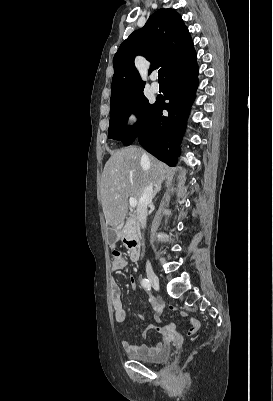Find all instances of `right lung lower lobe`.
I'll use <instances>...</instances> for the list:
<instances>
[{"label": "right lung lower lobe", "instance_id": "obj_1", "mask_svg": "<svg viewBox=\"0 0 273 401\" xmlns=\"http://www.w3.org/2000/svg\"><path fill=\"white\" fill-rule=\"evenodd\" d=\"M196 58L173 68L166 76L165 99L154 104L150 122L136 138L140 144L159 160L174 166L179 154V144L185 131L186 120L198 86ZM166 109L168 116H163Z\"/></svg>", "mask_w": 273, "mask_h": 401}]
</instances>
